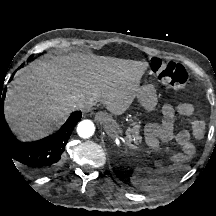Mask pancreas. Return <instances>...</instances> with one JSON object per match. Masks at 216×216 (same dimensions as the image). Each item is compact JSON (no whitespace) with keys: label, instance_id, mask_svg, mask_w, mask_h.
I'll return each mask as SVG.
<instances>
[{"label":"pancreas","instance_id":"1","mask_svg":"<svg viewBox=\"0 0 216 216\" xmlns=\"http://www.w3.org/2000/svg\"><path fill=\"white\" fill-rule=\"evenodd\" d=\"M128 145L131 148H137V146L133 145L131 142L138 144L141 142L142 137L139 135L138 127L135 126L132 130H129L127 133Z\"/></svg>","mask_w":216,"mask_h":216}]
</instances>
